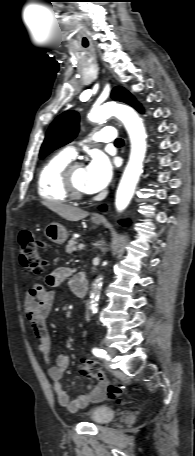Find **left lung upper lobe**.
Segmentation results:
<instances>
[{
    "mask_svg": "<svg viewBox=\"0 0 195 456\" xmlns=\"http://www.w3.org/2000/svg\"><path fill=\"white\" fill-rule=\"evenodd\" d=\"M112 99L125 102L134 108L139 106L135 98L124 88L115 87L111 94ZM79 129V115L75 111H66L59 115L50 125L40 150V159H43L53 150L71 142Z\"/></svg>",
    "mask_w": 195,
    "mask_h": 456,
    "instance_id": "obj_1",
    "label": "left lung upper lobe"
}]
</instances>
